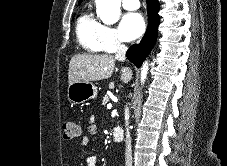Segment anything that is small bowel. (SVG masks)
Wrapping results in <instances>:
<instances>
[{"label":"small bowel","instance_id":"small-bowel-1","mask_svg":"<svg viewBox=\"0 0 227 166\" xmlns=\"http://www.w3.org/2000/svg\"><path fill=\"white\" fill-rule=\"evenodd\" d=\"M87 131L90 135H95L97 134L98 132V129H97V126L95 125V122H94V117H92L88 123V126H87ZM90 141V138L88 136H85L83 139H82V142L81 144L82 145H87ZM85 160H86V166H96V160H97V157L96 155L94 154H90V155H87L85 157Z\"/></svg>","mask_w":227,"mask_h":166}]
</instances>
